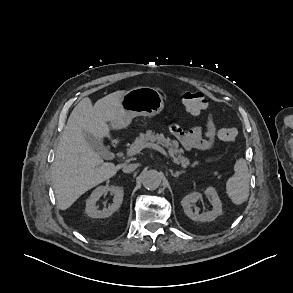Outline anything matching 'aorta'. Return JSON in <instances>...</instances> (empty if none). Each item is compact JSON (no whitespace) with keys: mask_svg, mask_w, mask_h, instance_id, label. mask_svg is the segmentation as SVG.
<instances>
[{"mask_svg":"<svg viewBox=\"0 0 293 293\" xmlns=\"http://www.w3.org/2000/svg\"><path fill=\"white\" fill-rule=\"evenodd\" d=\"M162 177L160 172L156 170H147L142 174V184L146 189H156L160 186Z\"/></svg>","mask_w":293,"mask_h":293,"instance_id":"762f6f07","label":"aorta"}]
</instances>
